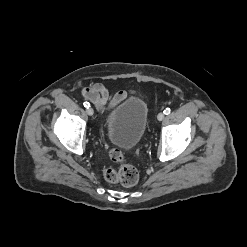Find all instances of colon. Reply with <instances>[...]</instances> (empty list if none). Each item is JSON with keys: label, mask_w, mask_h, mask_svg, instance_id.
Wrapping results in <instances>:
<instances>
[{"label": "colon", "mask_w": 247, "mask_h": 247, "mask_svg": "<svg viewBox=\"0 0 247 247\" xmlns=\"http://www.w3.org/2000/svg\"><path fill=\"white\" fill-rule=\"evenodd\" d=\"M109 157L112 161L120 163V166L117 169L106 167L103 171L105 180L111 184H121L126 187L134 186L139 180L137 169L124 162V156L117 148L110 150Z\"/></svg>", "instance_id": "colon-1"}]
</instances>
